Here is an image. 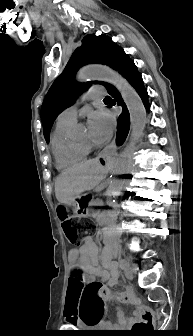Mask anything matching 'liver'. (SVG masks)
<instances>
[{
  "mask_svg": "<svg viewBox=\"0 0 193 336\" xmlns=\"http://www.w3.org/2000/svg\"><path fill=\"white\" fill-rule=\"evenodd\" d=\"M109 168L110 160L103 165L99 158H95L66 169L55 181L57 200L70 205L81 193L96 188L105 179Z\"/></svg>",
  "mask_w": 193,
  "mask_h": 336,
  "instance_id": "6515ba94",
  "label": "liver"
}]
</instances>
